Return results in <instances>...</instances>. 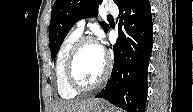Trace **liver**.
I'll use <instances>...</instances> for the list:
<instances>
[{
    "mask_svg": "<svg viewBox=\"0 0 193 112\" xmlns=\"http://www.w3.org/2000/svg\"><path fill=\"white\" fill-rule=\"evenodd\" d=\"M98 99L61 101L56 104L55 112H88Z\"/></svg>",
    "mask_w": 193,
    "mask_h": 112,
    "instance_id": "liver-1",
    "label": "liver"
}]
</instances>
